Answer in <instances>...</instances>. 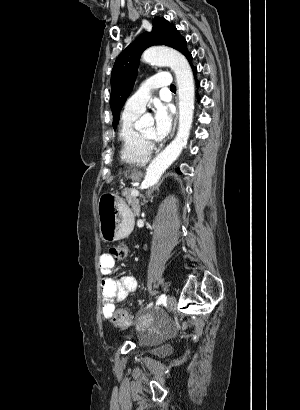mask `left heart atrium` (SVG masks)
<instances>
[{"label": "left heart atrium", "instance_id": "left-heart-atrium-1", "mask_svg": "<svg viewBox=\"0 0 300 410\" xmlns=\"http://www.w3.org/2000/svg\"><path fill=\"white\" fill-rule=\"evenodd\" d=\"M154 121L153 137L156 141H161L169 134L172 125V117L169 108L166 105L162 103H157L155 105Z\"/></svg>", "mask_w": 300, "mask_h": 410}]
</instances>
